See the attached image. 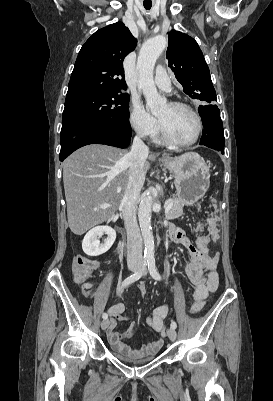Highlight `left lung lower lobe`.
I'll use <instances>...</instances> for the list:
<instances>
[{
	"instance_id": "1",
	"label": "left lung lower lobe",
	"mask_w": 273,
	"mask_h": 401,
	"mask_svg": "<svg viewBox=\"0 0 273 401\" xmlns=\"http://www.w3.org/2000/svg\"><path fill=\"white\" fill-rule=\"evenodd\" d=\"M199 114L204 125L200 145H205L224 154L223 123L217 105L199 106Z\"/></svg>"
}]
</instances>
